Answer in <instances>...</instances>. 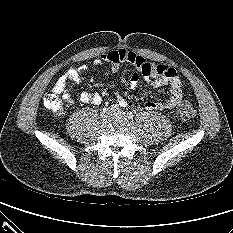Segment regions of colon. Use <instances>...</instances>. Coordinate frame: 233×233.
<instances>
[{
    "label": "colon",
    "mask_w": 233,
    "mask_h": 233,
    "mask_svg": "<svg viewBox=\"0 0 233 233\" xmlns=\"http://www.w3.org/2000/svg\"><path fill=\"white\" fill-rule=\"evenodd\" d=\"M56 89H52L44 96V106L55 114H59L64 109V101ZM176 115L181 121H188L195 115L194 107L187 101L181 102L177 109Z\"/></svg>",
    "instance_id": "1"
}]
</instances>
